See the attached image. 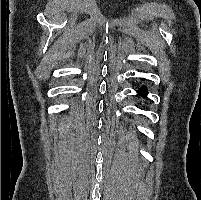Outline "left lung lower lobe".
I'll return each instance as SVG.
<instances>
[{
	"label": "left lung lower lobe",
	"instance_id": "1",
	"mask_svg": "<svg viewBox=\"0 0 201 200\" xmlns=\"http://www.w3.org/2000/svg\"><path fill=\"white\" fill-rule=\"evenodd\" d=\"M138 93L143 96V97H146L147 96V88L145 86L141 87L139 90H138Z\"/></svg>",
	"mask_w": 201,
	"mask_h": 200
}]
</instances>
